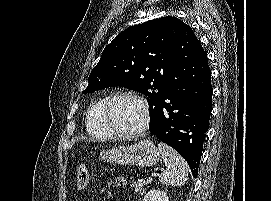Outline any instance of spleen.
I'll return each mask as SVG.
<instances>
[{
  "mask_svg": "<svg viewBox=\"0 0 271 201\" xmlns=\"http://www.w3.org/2000/svg\"><path fill=\"white\" fill-rule=\"evenodd\" d=\"M158 149L166 166V169L160 174V182L169 186H183L188 178L185 160L167 144L160 142Z\"/></svg>",
  "mask_w": 271,
  "mask_h": 201,
  "instance_id": "obj_1",
  "label": "spleen"
}]
</instances>
